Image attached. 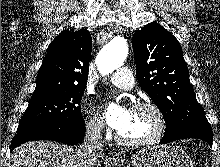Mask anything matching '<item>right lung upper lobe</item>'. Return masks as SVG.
<instances>
[{
  "instance_id": "1",
  "label": "right lung upper lobe",
  "mask_w": 220,
  "mask_h": 167,
  "mask_svg": "<svg viewBox=\"0 0 220 167\" xmlns=\"http://www.w3.org/2000/svg\"><path fill=\"white\" fill-rule=\"evenodd\" d=\"M91 50V34L86 29L62 31L48 46L32 98L86 86Z\"/></svg>"
}]
</instances>
